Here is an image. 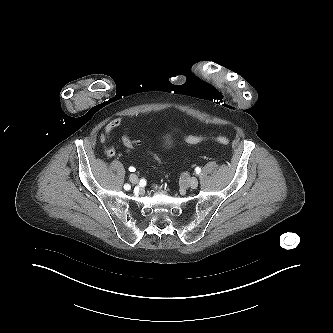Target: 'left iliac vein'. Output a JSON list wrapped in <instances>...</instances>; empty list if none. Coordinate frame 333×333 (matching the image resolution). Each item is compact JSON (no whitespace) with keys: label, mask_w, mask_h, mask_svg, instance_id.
<instances>
[{"label":"left iliac vein","mask_w":333,"mask_h":333,"mask_svg":"<svg viewBox=\"0 0 333 333\" xmlns=\"http://www.w3.org/2000/svg\"><path fill=\"white\" fill-rule=\"evenodd\" d=\"M186 184H187L189 187L195 189V188H197V186H198V180H197L195 177H190V178H188V179L186 180Z\"/></svg>","instance_id":"1"}]
</instances>
